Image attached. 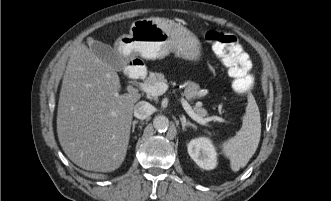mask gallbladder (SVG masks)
<instances>
[{
	"instance_id": "gallbladder-1",
	"label": "gallbladder",
	"mask_w": 331,
	"mask_h": 201,
	"mask_svg": "<svg viewBox=\"0 0 331 201\" xmlns=\"http://www.w3.org/2000/svg\"><path fill=\"white\" fill-rule=\"evenodd\" d=\"M88 43L95 56L112 66L116 71H122L125 68L122 58L110 45L96 40H91Z\"/></svg>"
}]
</instances>
